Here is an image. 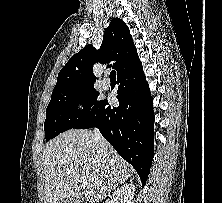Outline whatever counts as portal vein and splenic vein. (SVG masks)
Returning a JSON list of instances; mask_svg holds the SVG:
<instances>
[{
	"instance_id": "portal-vein-and-splenic-vein-1",
	"label": "portal vein and splenic vein",
	"mask_w": 222,
	"mask_h": 203,
	"mask_svg": "<svg viewBox=\"0 0 222 203\" xmlns=\"http://www.w3.org/2000/svg\"><path fill=\"white\" fill-rule=\"evenodd\" d=\"M82 185H83L84 187L88 186V182H87L86 179H83V180H82Z\"/></svg>"
}]
</instances>
